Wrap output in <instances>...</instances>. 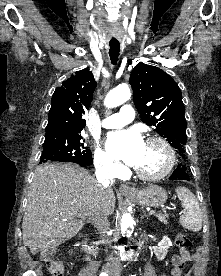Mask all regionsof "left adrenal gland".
Instances as JSON below:
<instances>
[{
	"instance_id": "1",
	"label": "left adrenal gland",
	"mask_w": 221,
	"mask_h": 276,
	"mask_svg": "<svg viewBox=\"0 0 221 276\" xmlns=\"http://www.w3.org/2000/svg\"><path fill=\"white\" fill-rule=\"evenodd\" d=\"M144 217H148V215H146V212L143 210V214L141 215V219H143Z\"/></svg>"
}]
</instances>
